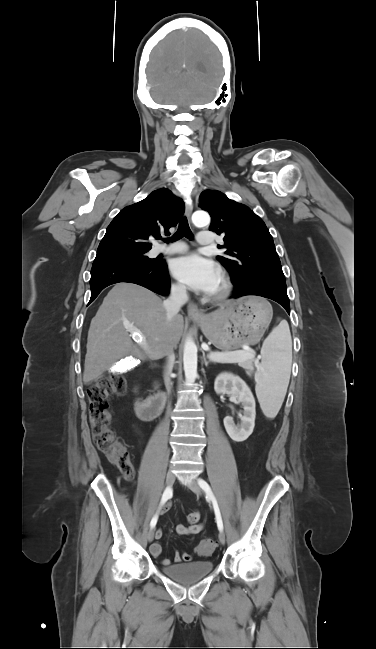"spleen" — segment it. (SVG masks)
I'll use <instances>...</instances> for the list:
<instances>
[{"label":"spleen","instance_id":"spleen-1","mask_svg":"<svg viewBox=\"0 0 376 649\" xmlns=\"http://www.w3.org/2000/svg\"><path fill=\"white\" fill-rule=\"evenodd\" d=\"M292 364V339L286 320L272 330L262 346V362L255 373V391L265 416L274 418L287 392Z\"/></svg>","mask_w":376,"mask_h":649}]
</instances>
